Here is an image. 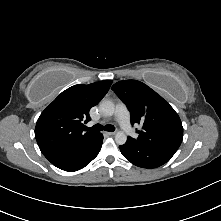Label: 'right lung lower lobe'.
<instances>
[{
    "label": "right lung lower lobe",
    "instance_id": "1",
    "mask_svg": "<svg viewBox=\"0 0 221 221\" xmlns=\"http://www.w3.org/2000/svg\"><path fill=\"white\" fill-rule=\"evenodd\" d=\"M103 142V135L99 133L92 141L76 150L70 159L58 168L64 171H77L84 168L99 153Z\"/></svg>",
    "mask_w": 221,
    "mask_h": 221
}]
</instances>
